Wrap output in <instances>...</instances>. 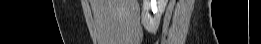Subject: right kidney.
Here are the masks:
<instances>
[{
    "mask_svg": "<svg viewBox=\"0 0 261 44\" xmlns=\"http://www.w3.org/2000/svg\"><path fill=\"white\" fill-rule=\"evenodd\" d=\"M167 1L168 0H143L141 19L144 28L148 32L154 33L158 29ZM150 11H152L153 15Z\"/></svg>",
    "mask_w": 261,
    "mask_h": 44,
    "instance_id": "1",
    "label": "right kidney"
}]
</instances>
